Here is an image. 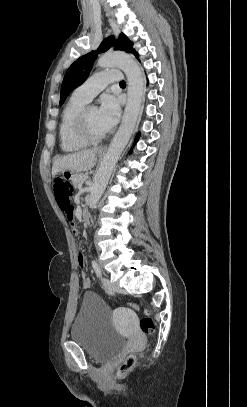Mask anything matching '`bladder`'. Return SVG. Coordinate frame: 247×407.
Wrapping results in <instances>:
<instances>
[{
	"label": "bladder",
	"instance_id": "1",
	"mask_svg": "<svg viewBox=\"0 0 247 407\" xmlns=\"http://www.w3.org/2000/svg\"><path fill=\"white\" fill-rule=\"evenodd\" d=\"M71 340L96 361H109L125 347L126 337L112 323L111 308L95 293L86 292L71 329Z\"/></svg>",
	"mask_w": 247,
	"mask_h": 407
}]
</instances>
